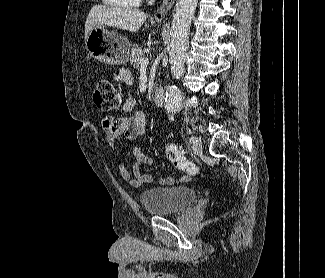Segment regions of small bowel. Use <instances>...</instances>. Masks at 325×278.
Here are the masks:
<instances>
[{"label": "small bowel", "mask_w": 325, "mask_h": 278, "mask_svg": "<svg viewBox=\"0 0 325 278\" xmlns=\"http://www.w3.org/2000/svg\"><path fill=\"white\" fill-rule=\"evenodd\" d=\"M121 80L128 84H132V75L127 69L120 70ZM136 101L134 97L130 96L122 103L121 109L123 112L130 113V116H123L115 119L111 116H105L102 119V128L105 132L108 143L112 146H117L118 139L124 136L129 142H136L146 132L147 118L146 114L142 110H135ZM136 163L133 166L132 171L129 170L123 163H120L119 169L121 177L128 181L134 187H141L142 185L149 183L153 180L149 174L141 172V165H153L155 159L141 152L140 148L135 145L133 149ZM181 181L186 180L185 176L180 177ZM175 182L172 177H165L160 179L161 185H169Z\"/></svg>", "instance_id": "c3829d8e"}]
</instances>
